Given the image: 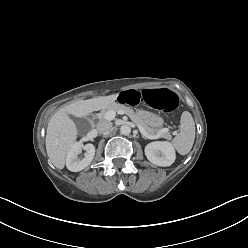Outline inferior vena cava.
<instances>
[{
  "instance_id": "inferior-vena-cava-1",
  "label": "inferior vena cava",
  "mask_w": 248,
  "mask_h": 248,
  "mask_svg": "<svg viewBox=\"0 0 248 248\" xmlns=\"http://www.w3.org/2000/svg\"><path fill=\"white\" fill-rule=\"evenodd\" d=\"M112 127V124L108 121H100L97 126L96 129L100 134L106 133L108 132Z\"/></svg>"
}]
</instances>
